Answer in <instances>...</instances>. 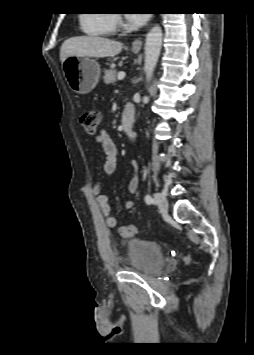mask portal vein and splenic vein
I'll return each instance as SVG.
<instances>
[{"label": "portal vein and splenic vein", "mask_w": 254, "mask_h": 355, "mask_svg": "<svg viewBox=\"0 0 254 355\" xmlns=\"http://www.w3.org/2000/svg\"><path fill=\"white\" fill-rule=\"evenodd\" d=\"M125 76H126L125 72H120V73H118L117 78H118V80H123L125 78Z\"/></svg>", "instance_id": "portal-vein-and-splenic-vein-1"}]
</instances>
